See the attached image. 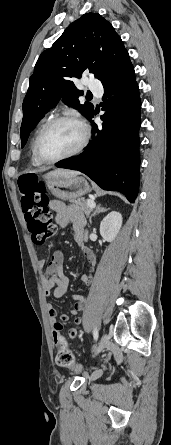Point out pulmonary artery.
<instances>
[{"instance_id": "obj_1", "label": "pulmonary artery", "mask_w": 171, "mask_h": 445, "mask_svg": "<svg viewBox=\"0 0 171 445\" xmlns=\"http://www.w3.org/2000/svg\"><path fill=\"white\" fill-rule=\"evenodd\" d=\"M88 88L91 92L97 93L102 91V85L101 82L95 79H91L88 82Z\"/></svg>"}]
</instances>
